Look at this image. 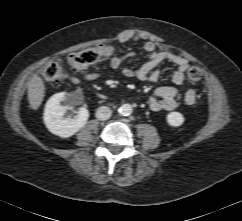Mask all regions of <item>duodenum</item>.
<instances>
[{
    "instance_id": "obj_1",
    "label": "duodenum",
    "mask_w": 242,
    "mask_h": 221,
    "mask_svg": "<svg viewBox=\"0 0 242 221\" xmlns=\"http://www.w3.org/2000/svg\"><path fill=\"white\" fill-rule=\"evenodd\" d=\"M99 96H100L101 98H104V97H105V95H104V94H99Z\"/></svg>"
}]
</instances>
